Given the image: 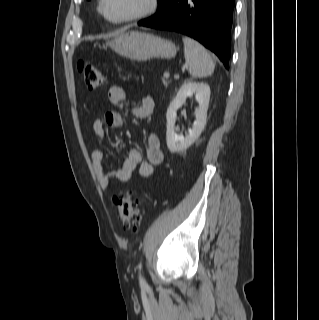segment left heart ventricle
Returning <instances> with one entry per match:
<instances>
[{
    "instance_id": "left-heart-ventricle-1",
    "label": "left heart ventricle",
    "mask_w": 319,
    "mask_h": 320,
    "mask_svg": "<svg viewBox=\"0 0 319 320\" xmlns=\"http://www.w3.org/2000/svg\"><path fill=\"white\" fill-rule=\"evenodd\" d=\"M149 0H106L105 11L115 20L122 19L146 9Z\"/></svg>"
}]
</instances>
